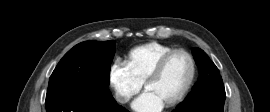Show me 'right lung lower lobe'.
<instances>
[{
	"label": "right lung lower lobe",
	"mask_w": 270,
	"mask_h": 112,
	"mask_svg": "<svg viewBox=\"0 0 270 112\" xmlns=\"http://www.w3.org/2000/svg\"><path fill=\"white\" fill-rule=\"evenodd\" d=\"M46 112H129L114 98L100 99L83 90L67 87L46 97Z\"/></svg>",
	"instance_id": "1"
}]
</instances>
